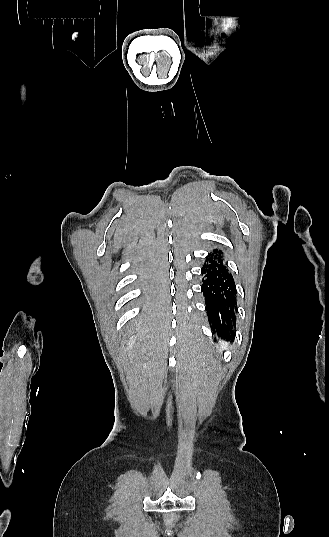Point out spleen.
Masks as SVG:
<instances>
[{
    "instance_id": "3e777b00",
    "label": "spleen",
    "mask_w": 329,
    "mask_h": 537,
    "mask_svg": "<svg viewBox=\"0 0 329 537\" xmlns=\"http://www.w3.org/2000/svg\"><path fill=\"white\" fill-rule=\"evenodd\" d=\"M222 347H228V345L224 342H222Z\"/></svg>"
}]
</instances>
